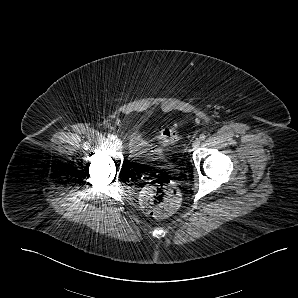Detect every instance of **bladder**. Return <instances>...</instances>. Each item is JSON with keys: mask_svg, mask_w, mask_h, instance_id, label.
<instances>
[{"mask_svg": "<svg viewBox=\"0 0 298 298\" xmlns=\"http://www.w3.org/2000/svg\"><path fill=\"white\" fill-rule=\"evenodd\" d=\"M128 145L130 156L139 161L158 162L166 157L165 149L154 143L139 125L133 127Z\"/></svg>", "mask_w": 298, "mask_h": 298, "instance_id": "bladder-1", "label": "bladder"}]
</instances>
